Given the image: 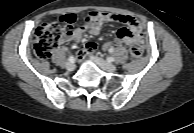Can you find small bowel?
Instances as JSON below:
<instances>
[{
    "instance_id": "c3829d8e",
    "label": "small bowel",
    "mask_w": 194,
    "mask_h": 133,
    "mask_svg": "<svg viewBox=\"0 0 194 133\" xmlns=\"http://www.w3.org/2000/svg\"><path fill=\"white\" fill-rule=\"evenodd\" d=\"M106 22H119L123 24V27L118 29L115 42H107L103 45L104 51H112L115 43L125 44L129 47L137 44L143 49L142 26L135 17L98 11L89 12L84 18V23L68 31L61 42H78L86 32L98 35Z\"/></svg>"
}]
</instances>
